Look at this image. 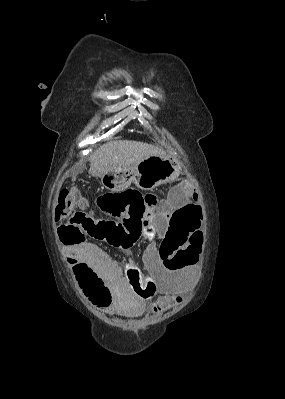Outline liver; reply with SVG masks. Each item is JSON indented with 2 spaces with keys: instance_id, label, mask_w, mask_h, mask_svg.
<instances>
[{
  "instance_id": "1",
  "label": "liver",
  "mask_w": 285,
  "mask_h": 399,
  "mask_svg": "<svg viewBox=\"0 0 285 399\" xmlns=\"http://www.w3.org/2000/svg\"><path fill=\"white\" fill-rule=\"evenodd\" d=\"M151 155H162V151L154 145L138 141H110L90 156L89 172L102 177L114 168L133 167Z\"/></svg>"
}]
</instances>
